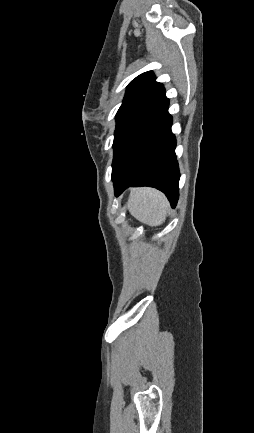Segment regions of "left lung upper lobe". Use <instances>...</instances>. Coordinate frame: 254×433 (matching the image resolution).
Masks as SVG:
<instances>
[{"instance_id": "left-lung-upper-lobe-1", "label": "left lung upper lobe", "mask_w": 254, "mask_h": 433, "mask_svg": "<svg viewBox=\"0 0 254 433\" xmlns=\"http://www.w3.org/2000/svg\"><path fill=\"white\" fill-rule=\"evenodd\" d=\"M165 100L163 85L155 81L150 71L139 75L129 83L123 103L116 114L112 175L119 168L137 132Z\"/></svg>"}]
</instances>
